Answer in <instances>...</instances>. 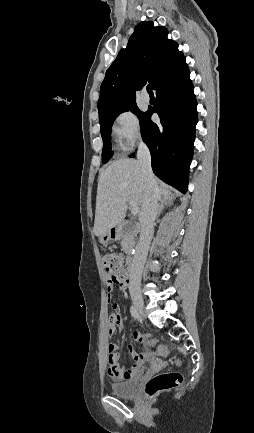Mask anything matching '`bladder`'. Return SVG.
Here are the masks:
<instances>
[{"mask_svg": "<svg viewBox=\"0 0 254 433\" xmlns=\"http://www.w3.org/2000/svg\"><path fill=\"white\" fill-rule=\"evenodd\" d=\"M138 386H139L138 376H134L122 382L111 383L109 385L111 393L121 398L133 397L138 390Z\"/></svg>", "mask_w": 254, "mask_h": 433, "instance_id": "31cf9c89", "label": "bladder"}]
</instances>
